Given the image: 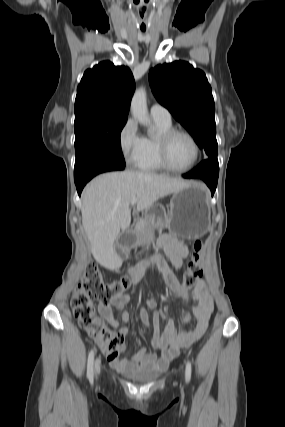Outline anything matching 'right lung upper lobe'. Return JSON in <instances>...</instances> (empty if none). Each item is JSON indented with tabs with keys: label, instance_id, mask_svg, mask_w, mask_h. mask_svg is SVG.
Segmentation results:
<instances>
[{
	"label": "right lung upper lobe",
	"instance_id": "obj_1",
	"mask_svg": "<svg viewBox=\"0 0 285 427\" xmlns=\"http://www.w3.org/2000/svg\"><path fill=\"white\" fill-rule=\"evenodd\" d=\"M134 90V78L128 67L103 61L86 70L78 85L75 119H127Z\"/></svg>",
	"mask_w": 285,
	"mask_h": 427
}]
</instances>
